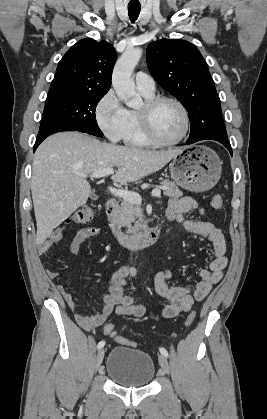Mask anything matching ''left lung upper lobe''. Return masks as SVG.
Wrapping results in <instances>:
<instances>
[{
	"label": "left lung upper lobe",
	"mask_w": 267,
	"mask_h": 419,
	"mask_svg": "<svg viewBox=\"0 0 267 419\" xmlns=\"http://www.w3.org/2000/svg\"><path fill=\"white\" fill-rule=\"evenodd\" d=\"M146 56L157 83L188 111L191 129L206 122L214 136L227 135L215 83L206 61L192 43L179 39L158 40L148 45Z\"/></svg>",
	"instance_id": "left-lung-upper-lobe-1"
}]
</instances>
